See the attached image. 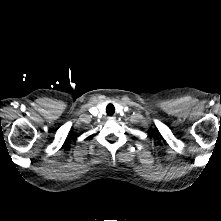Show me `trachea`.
Returning a JSON list of instances; mask_svg holds the SVG:
<instances>
[{"instance_id": "1", "label": "trachea", "mask_w": 221, "mask_h": 221, "mask_svg": "<svg viewBox=\"0 0 221 221\" xmlns=\"http://www.w3.org/2000/svg\"><path fill=\"white\" fill-rule=\"evenodd\" d=\"M106 113L108 116H111L115 113V107L112 104H108L106 107Z\"/></svg>"}]
</instances>
